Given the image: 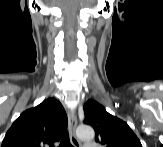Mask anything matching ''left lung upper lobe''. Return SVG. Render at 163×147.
I'll list each match as a JSON object with an SVG mask.
<instances>
[{
  "label": "left lung upper lobe",
  "instance_id": "1",
  "mask_svg": "<svg viewBox=\"0 0 163 147\" xmlns=\"http://www.w3.org/2000/svg\"><path fill=\"white\" fill-rule=\"evenodd\" d=\"M84 123L95 130V141L104 147H142L139 139L126 122L112 116L94 100L84 105Z\"/></svg>",
  "mask_w": 163,
  "mask_h": 147
}]
</instances>
